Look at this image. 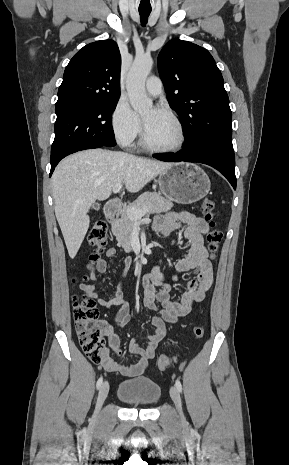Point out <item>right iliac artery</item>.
I'll return each instance as SVG.
<instances>
[{
	"mask_svg": "<svg viewBox=\"0 0 289 465\" xmlns=\"http://www.w3.org/2000/svg\"><path fill=\"white\" fill-rule=\"evenodd\" d=\"M102 383H103V377H100V378L98 379V381H97V384H96L97 388H100L101 385H102Z\"/></svg>",
	"mask_w": 289,
	"mask_h": 465,
	"instance_id": "right-iliac-artery-1",
	"label": "right iliac artery"
}]
</instances>
